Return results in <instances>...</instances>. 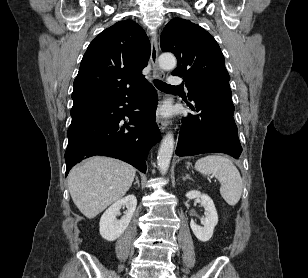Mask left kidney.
Instances as JSON below:
<instances>
[{
    "mask_svg": "<svg viewBox=\"0 0 308 278\" xmlns=\"http://www.w3.org/2000/svg\"><path fill=\"white\" fill-rule=\"evenodd\" d=\"M189 199L201 198V205L205 209V219L203 226L197 225L193 220L190 223V227L197 237L202 242H207L211 239L215 226L218 223V214L213 203V200L206 194H202L199 191H190L186 194Z\"/></svg>",
    "mask_w": 308,
    "mask_h": 278,
    "instance_id": "obj_1",
    "label": "left kidney"
}]
</instances>
